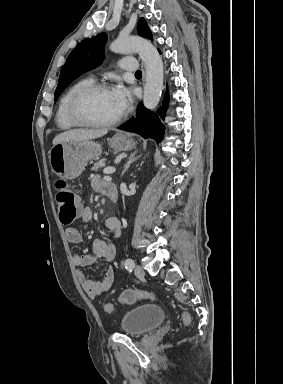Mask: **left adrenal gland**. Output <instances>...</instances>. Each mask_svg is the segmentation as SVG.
I'll list each match as a JSON object with an SVG mask.
<instances>
[{"label": "left adrenal gland", "mask_w": 283, "mask_h": 384, "mask_svg": "<svg viewBox=\"0 0 283 384\" xmlns=\"http://www.w3.org/2000/svg\"><path fill=\"white\" fill-rule=\"evenodd\" d=\"M137 152H138V150H136V152H132V154H130V156L128 158V162H127V164H125L124 170H123L121 176H124L125 172H127L128 168H129L130 164H132V162H135V160H137L138 156H137V158H135V154H137Z\"/></svg>", "instance_id": "obj_1"}]
</instances>
